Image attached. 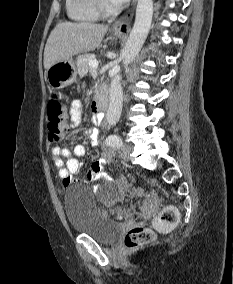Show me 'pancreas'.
<instances>
[{"mask_svg":"<svg viewBox=\"0 0 233 284\" xmlns=\"http://www.w3.org/2000/svg\"><path fill=\"white\" fill-rule=\"evenodd\" d=\"M95 59L93 54H85L77 59L78 74L82 77L92 70L89 61Z\"/></svg>","mask_w":233,"mask_h":284,"instance_id":"1","label":"pancreas"}]
</instances>
